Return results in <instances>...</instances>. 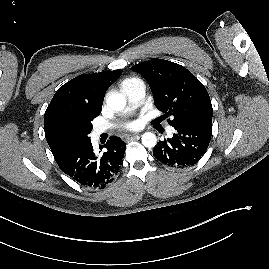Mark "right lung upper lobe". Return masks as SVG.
<instances>
[{
  "label": "right lung upper lobe",
  "instance_id": "cb5924a9",
  "mask_svg": "<svg viewBox=\"0 0 269 269\" xmlns=\"http://www.w3.org/2000/svg\"><path fill=\"white\" fill-rule=\"evenodd\" d=\"M121 74L122 70H114L79 75L56 91L44 115L45 137L51 150L59 125L68 120L92 121L101 113L107 89Z\"/></svg>",
  "mask_w": 269,
  "mask_h": 269
}]
</instances>
